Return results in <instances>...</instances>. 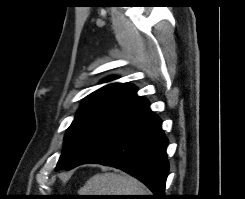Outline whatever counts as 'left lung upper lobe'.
<instances>
[{"instance_id": "1", "label": "left lung upper lobe", "mask_w": 245, "mask_h": 199, "mask_svg": "<svg viewBox=\"0 0 245 199\" xmlns=\"http://www.w3.org/2000/svg\"><path fill=\"white\" fill-rule=\"evenodd\" d=\"M136 92L137 88L133 85L115 83L85 97L78 115L67 130L64 148L55 170L69 167L107 123L140 98Z\"/></svg>"}]
</instances>
